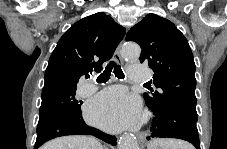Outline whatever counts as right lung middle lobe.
<instances>
[{"label": "right lung middle lobe", "instance_id": "1", "mask_svg": "<svg viewBox=\"0 0 227 149\" xmlns=\"http://www.w3.org/2000/svg\"><path fill=\"white\" fill-rule=\"evenodd\" d=\"M77 86L57 84L42 90L39 122L62 115H81V101L75 98Z\"/></svg>", "mask_w": 227, "mask_h": 149}]
</instances>
